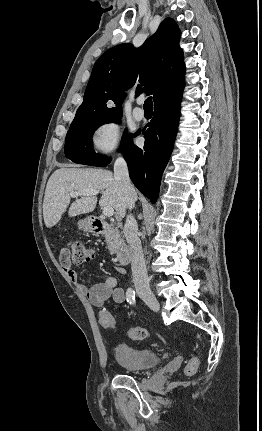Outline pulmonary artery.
Segmentation results:
<instances>
[{
  "instance_id": "obj_1",
  "label": "pulmonary artery",
  "mask_w": 262,
  "mask_h": 431,
  "mask_svg": "<svg viewBox=\"0 0 262 431\" xmlns=\"http://www.w3.org/2000/svg\"><path fill=\"white\" fill-rule=\"evenodd\" d=\"M143 101H144V100H143L142 98H139V99L137 100L138 104L143 103ZM133 117H134L136 120H138V121H140V120L144 119V111H143L141 108H139V107H135V108H134V110H133Z\"/></svg>"
}]
</instances>
